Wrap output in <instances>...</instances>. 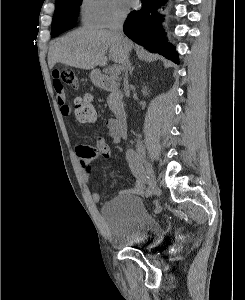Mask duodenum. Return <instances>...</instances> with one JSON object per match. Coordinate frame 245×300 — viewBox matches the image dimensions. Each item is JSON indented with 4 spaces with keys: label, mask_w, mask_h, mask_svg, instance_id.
Listing matches in <instances>:
<instances>
[{
    "label": "duodenum",
    "mask_w": 245,
    "mask_h": 300,
    "mask_svg": "<svg viewBox=\"0 0 245 300\" xmlns=\"http://www.w3.org/2000/svg\"><path fill=\"white\" fill-rule=\"evenodd\" d=\"M95 81L97 85L103 89L111 90V91L115 89L114 83L111 81V79L102 73L99 72L95 73ZM113 112L121 129L126 132L127 115L125 110L120 105L115 104L113 108Z\"/></svg>",
    "instance_id": "duodenum-1"
}]
</instances>
